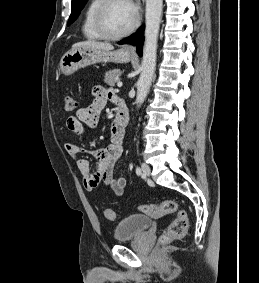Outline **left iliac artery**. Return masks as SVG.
<instances>
[{
    "mask_svg": "<svg viewBox=\"0 0 259 283\" xmlns=\"http://www.w3.org/2000/svg\"><path fill=\"white\" fill-rule=\"evenodd\" d=\"M136 174L140 175L141 174V169L139 167H136Z\"/></svg>",
    "mask_w": 259,
    "mask_h": 283,
    "instance_id": "44dca946",
    "label": "left iliac artery"
}]
</instances>
